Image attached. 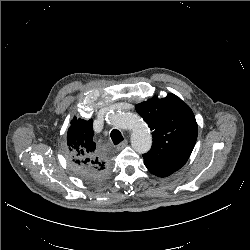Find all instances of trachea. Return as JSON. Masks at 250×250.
<instances>
[{
    "instance_id": "1",
    "label": "trachea",
    "mask_w": 250,
    "mask_h": 250,
    "mask_svg": "<svg viewBox=\"0 0 250 250\" xmlns=\"http://www.w3.org/2000/svg\"><path fill=\"white\" fill-rule=\"evenodd\" d=\"M110 137H111V139H112V141H113V143H114L115 145H117V144H119L120 142L123 141V136H122L121 133H120L118 130H116V129H114V130L111 131Z\"/></svg>"
}]
</instances>
